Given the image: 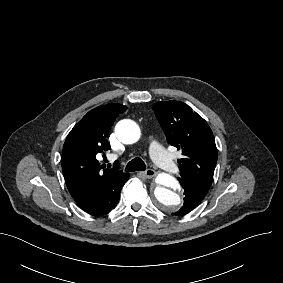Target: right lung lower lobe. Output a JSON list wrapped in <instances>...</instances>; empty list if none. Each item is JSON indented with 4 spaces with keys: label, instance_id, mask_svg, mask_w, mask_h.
<instances>
[{
    "label": "right lung lower lobe",
    "instance_id": "1",
    "mask_svg": "<svg viewBox=\"0 0 283 283\" xmlns=\"http://www.w3.org/2000/svg\"><path fill=\"white\" fill-rule=\"evenodd\" d=\"M129 175L124 173L98 189L83 188L71 194L76 204L91 215H104L111 211L120 199V192Z\"/></svg>",
    "mask_w": 283,
    "mask_h": 283
}]
</instances>
